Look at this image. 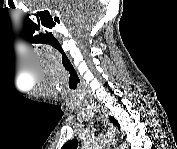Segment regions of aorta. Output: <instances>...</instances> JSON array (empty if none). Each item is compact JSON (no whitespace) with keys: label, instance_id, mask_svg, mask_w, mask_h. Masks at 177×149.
Wrapping results in <instances>:
<instances>
[{"label":"aorta","instance_id":"1","mask_svg":"<svg viewBox=\"0 0 177 149\" xmlns=\"http://www.w3.org/2000/svg\"><path fill=\"white\" fill-rule=\"evenodd\" d=\"M107 143V138L105 137H98L93 140L91 143H86L83 149H103L105 144Z\"/></svg>","mask_w":177,"mask_h":149}]
</instances>
